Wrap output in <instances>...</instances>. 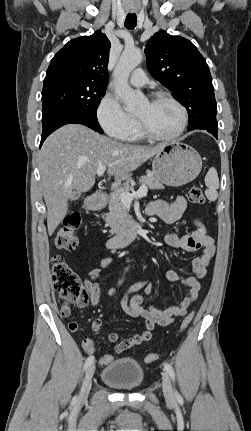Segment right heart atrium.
I'll return each mask as SVG.
<instances>
[{"instance_id":"d8ad5b80","label":"right heart atrium","mask_w":251,"mask_h":431,"mask_svg":"<svg viewBox=\"0 0 251 431\" xmlns=\"http://www.w3.org/2000/svg\"><path fill=\"white\" fill-rule=\"evenodd\" d=\"M96 117L101 128L111 137L124 139L133 130L136 120L121 106L118 99L106 93L100 99Z\"/></svg>"}]
</instances>
